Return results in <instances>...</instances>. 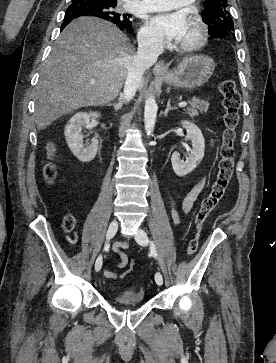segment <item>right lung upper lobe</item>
Here are the masks:
<instances>
[{
    "mask_svg": "<svg viewBox=\"0 0 276 363\" xmlns=\"http://www.w3.org/2000/svg\"><path fill=\"white\" fill-rule=\"evenodd\" d=\"M100 1H105V2H112V3H117V0H100ZM113 23L119 24V25H124L123 22H114Z\"/></svg>",
    "mask_w": 276,
    "mask_h": 363,
    "instance_id": "1",
    "label": "right lung upper lobe"
}]
</instances>
